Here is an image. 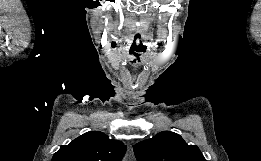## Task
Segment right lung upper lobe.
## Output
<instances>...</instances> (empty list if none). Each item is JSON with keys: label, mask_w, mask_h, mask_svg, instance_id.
Segmentation results:
<instances>
[{"label": "right lung upper lobe", "mask_w": 261, "mask_h": 161, "mask_svg": "<svg viewBox=\"0 0 261 161\" xmlns=\"http://www.w3.org/2000/svg\"><path fill=\"white\" fill-rule=\"evenodd\" d=\"M125 150L122 142L110 140L100 131H91L61 146L52 161H120Z\"/></svg>", "instance_id": "right-lung-upper-lobe-1"}]
</instances>
